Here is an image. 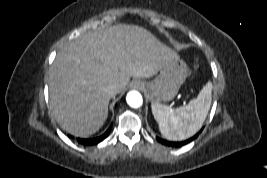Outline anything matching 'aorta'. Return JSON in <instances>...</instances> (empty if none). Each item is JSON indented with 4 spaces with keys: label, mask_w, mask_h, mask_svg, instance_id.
<instances>
[{
    "label": "aorta",
    "mask_w": 267,
    "mask_h": 178,
    "mask_svg": "<svg viewBox=\"0 0 267 178\" xmlns=\"http://www.w3.org/2000/svg\"><path fill=\"white\" fill-rule=\"evenodd\" d=\"M126 101L130 107L139 108L143 103V98L138 91H130L126 96Z\"/></svg>",
    "instance_id": "aorta-1"
}]
</instances>
